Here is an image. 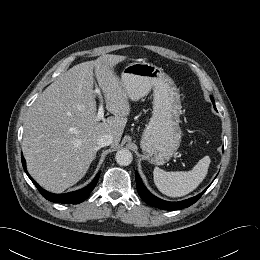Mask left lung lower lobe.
<instances>
[{
    "label": "left lung lower lobe",
    "mask_w": 260,
    "mask_h": 260,
    "mask_svg": "<svg viewBox=\"0 0 260 260\" xmlns=\"http://www.w3.org/2000/svg\"><path fill=\"white\" fill-rule=\"evenodd\" d=\"M135 178L137 184V191L140 197L143 199V201L146 202L148 205H151L156 208L164 209V210H179V209L187 208L192 204H194L201 197V195L206 191L205 189L202 193L198 194L195 197L189 198L188 200H183L179 202H168V201L161 200L158 197L151 194L142 183L141 178L137 172L135 173Z\"/></svg>",
    "instance_id": "0a47b994"
}]
</instances>
